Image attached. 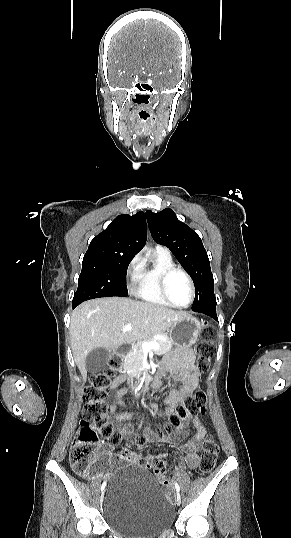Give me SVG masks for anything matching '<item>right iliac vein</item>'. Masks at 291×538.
<instances>
[{
    "instance_id": "63e3f726",
    "label": "right iliac vein",
    "mask_w": 291,
    "mask_h": 538,
    "mask_svg": "<svg viewBox=\"0 0 291 538\" xmlns=\"http://www.w3.org/2000/svg\"><path fill=\"white\" fill-rule=\"evenodd\" d=\"M103 497H104V492H102V494H101L100 501L103 500Z\"/></svg>"
}]
</instances>
